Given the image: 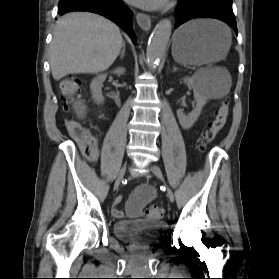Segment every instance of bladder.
I'll list each match as a JSON object with an SVG mask.
<instances>
[{"mask_svg": "<svg viewBox=\"0 0 279 279\" xmlns=\"http://www.w3.org/2000/svg\"><path fill=\"white\" fill-rule=\"evenodd\" d=\"M168 233V225L154 220H124L114 224V235L122 241L140 246L159 244Z\"/></svg>", "mask_w": 279, "mask_h": 279, "instance_id": "obj_1", "label": "bladder"}]
</instances>
